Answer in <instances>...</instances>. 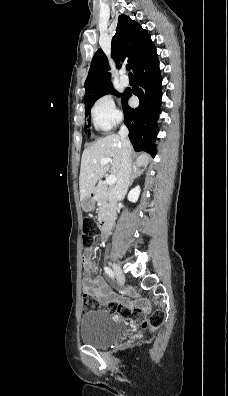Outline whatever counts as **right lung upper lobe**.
Segmentation results:
<instances>
[{
  "label": "right lung upper lobe",
  "instance_id": "cb5924a9",
  "mask_svg": "<svg viewBox=\"0 0 228 396\" xmlns=\"http://www.w3.org/2000/svg\"><path fill=\"white\" fill-rule=\"evenodd\" d=\"M154 47L150 35L146 30L128 16L120 15L112 38L111 57L119 67V62L128 59L134 71L146 58ZM110 67L108 60L101 49L95 53L88 76L85 81V100L93 94L112 86L110 81Z\"/></svg>",
  "mask_w": 228,
  "mask_h": 396
}]
</instances>
